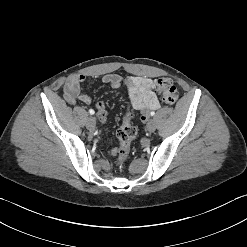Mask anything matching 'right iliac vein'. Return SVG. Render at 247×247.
<instances>
[{"mask_svg":"<svg viewBox=\"0 0 247 247\" xmlns=\"http://www.w3.org/2000/svg\"><path fill=\"white\" fill-rule=\"evenodd\" d=\"M86 125H87V128H88L89 130H94L95 127H96V120H95V118L92 117V116L89 117V118L87 119Z\"/></svg>","mask_w":247,"mask_h":247,"instance_id":"obj_1","label":"right iliac vein"}]
</instances>
